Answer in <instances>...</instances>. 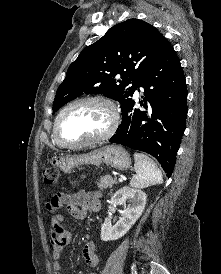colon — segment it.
<instances>
[{"label": "colon", "mask_w": 221, "mask_h": 274, "mask_svg": "<svg viewBox=\"0 0 221 274\" xmlns=\"http://www.w3.org/2000/svg\"><path fill=\"white\" fill-rule=\"evenodd\" d=\"M43 182L46 186L52 187L60 179V172L54 167H46L42 172Z\"/></svg>", "instance_id": "obj_1"}]
</instances>
